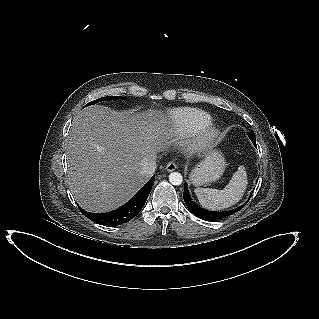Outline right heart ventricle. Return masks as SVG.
<instances>
[{"label": "right heart ventricle", "mask_w": 319, "mask_h": 319, "mask_svg": "<svg viewBox=\"0 0 319 319\" xmlns=\"http://www.w3.org/2000/svg\"><path fill=\"white\" fill-rule=\"evenodd\" d=\"M168 131L175 136L195 133L212 122L209 113L198 108H176L167 114Z\"/></svg>", "instance_id": "1"}]
</instances>
